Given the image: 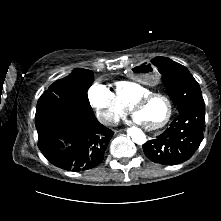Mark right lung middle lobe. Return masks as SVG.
I'll list each match as a JSON object with an SVG mask.
<instances>
[{
  "label": "right lung middle lobe",
  "mask_w": 221,
  "mask_h": 221,
  "mask_svg": "<svg viewBox=\"0 0 221 221\" xmlns=\"http://www.w3.org/2000/svg\"><path fill=\"white\" fill-rule=\"evenodd\" d=\"M92 81V72L80 69L68 78L54 82L38 100L35 115L37 131L50 129L66 118L94 119L86 93Z\"/></svg>",
  "instance_id": "obj_1"
}]
</instances>
